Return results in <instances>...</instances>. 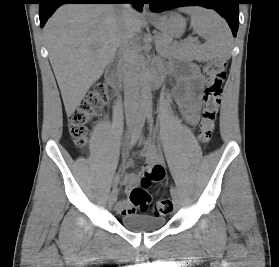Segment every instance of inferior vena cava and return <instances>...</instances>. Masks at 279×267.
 <instances>
[{
  "instance_id": "602c4592",
  "label": "inferior vena cava",
  "mask_w": 279,
  "mask_h": 267,
  "mask_svg": "<svg viewBox=\"0 0 279 267\" xmlns=\"http://www.w3.org/2000/svg\"><path fill=\"white\" fill-rule=\"evenodd\" d=\"M119 11L121 13V21L118 31L119 49L122 55V60L125 63V67L129 71V82L130 86L135 85L133 66L135 64V53L132 47V38L135 35L134 29L132 28L131 19L135 10L131 4L123 3L119 5ZM137 95V89H135Z\"/></svg>"
}]
</instances>
